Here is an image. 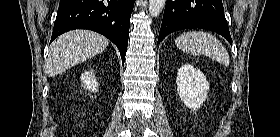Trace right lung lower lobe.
Listing matches in <instances>:
<instances>
[{"instance_id": "1", "label": "right lung lower lobe", "mask_w": 280, "mask_h": 137, "mask_svg": "<svg viewBox=\"0 0 280 137\" xmlns=\"http://www.w3.org/2000/svg\"><path fill=\"white\" fill-rule=\"evenodd\" d=\"M135 0H60L51 41L73 29H88L110 39L125 61Z\"/></svg>"}]
</instances>
